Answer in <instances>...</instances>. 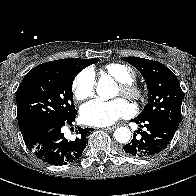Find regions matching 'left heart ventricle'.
Listing matches in <instances>:
<instances>
[{
    "instance_id": "b2bd125f",
    "label": "left heart ventricle",
    "mask_w": 196,
    "mask_h": 196,
    "mask_svg": "<svg viewBox=\"0 0 196 196\" xmlns=\"http://www.w3.org/2000/svg\"><path fill=\"white\" fill-rule=\"evenodd\" d=\"M118 93L120 94L121 92H120V89H118Z\"/></svg>"
}]
</instances>
